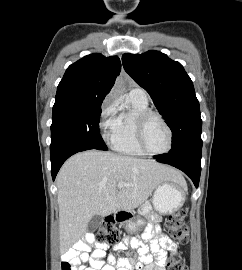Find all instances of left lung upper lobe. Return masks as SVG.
Segmentation results:
<instances>
[{"instance_id":"1","label":"left lung upper lobe","mask_w":242,"mask_h":270,"mask_svg":"<svg viewBox=\"0 0 242 270\" xmlns=\"http://www.w3.org/2000/svg\"><path fill=\"white\" fill-rule=\"evenodd\" d=\"M125 71L143 87L172 131L174 155L202 146L199 101L183 66L158 51L123 54Z\"/></svg>"}]
</instances>
